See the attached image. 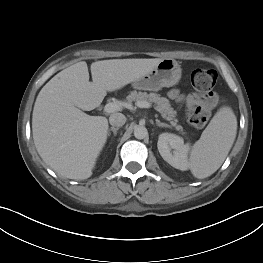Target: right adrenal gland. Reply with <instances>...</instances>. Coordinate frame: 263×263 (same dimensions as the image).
I'll return each mask as SVG.
<instances>
[{
  "label": "right adrenal gland",
  "mask_w": 263,
  "mask_h": 263,
  "mask_svg": "<svg viewBox=\"0 0 263 263\" xmlns=\"http://www.w3.org/2000/svg\"><path fill=\"white\" fill-rule=\"evenodd\" d=\"M118 130H119V128L111 127V128L108 130L107 135L110 136V135H111V132H113L114 136H116Z\"/></svg>",
  "instance_id": "obj_1"
}]
</instances>
